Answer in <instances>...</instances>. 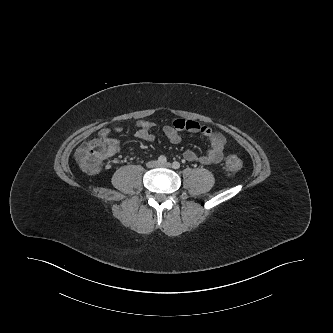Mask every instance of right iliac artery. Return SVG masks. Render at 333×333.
Instances as JSON below:
<instances>
[{
  "mask_svg": "<svg viewBox=\"0 0 333 333\" xmlns=\"http://www.w3.org/2000/svg\"><path fill=\"white\" fill-rule=\"evenodd\" d=\"M158 162L160 164H165L167 162V158L164 155L158 157Z\"/></svg>",
  "mask_w": 333,
  "mask_h": 333,
  "instance_id": "obj_1",
  "label": "right iliac artery"
}]
</instances>
